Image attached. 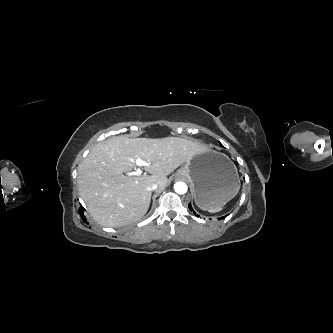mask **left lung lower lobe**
Instances as JSON below:
<instances>
[{"label": "left lung lower lobe", "instance_id": "obj_1", "mask_svg": "<svg viewBox=\"0 0 333 333\" xmlns=\"http://www.w3.org/2000/svg\"><path fill=\"white\" fill-rule=\"evenodd\" d=\"M189 209L192 211V212H194V210H193V208H192V206H191V203H189ZM194 214H195V212H194ZM227 216V215H226ZM226 216H224V217H221L222 219H224Z\"/></svg>", "mask_w": 333, "mask_h": 333}]
</instances>
